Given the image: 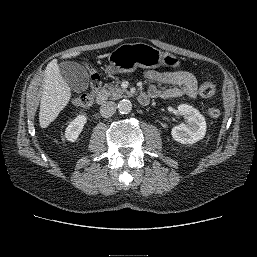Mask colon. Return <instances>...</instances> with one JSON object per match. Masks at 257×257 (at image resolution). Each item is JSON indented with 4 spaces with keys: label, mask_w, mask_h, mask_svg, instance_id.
<instances>
[{
    "label": "colon",
    "mask_w": 257,
    "mask_h": 257,
    "mask_svg": "<svg viewBox=\"0 0 257 257\" xmlns=\"http://www.w3.org/2000/svg\"><path fill=\"white\" fill-rule=\"evenodd\" d=\"M101 86L100 79L97 74L91 73L90 87L87 92H84L74 99V103L79 107H89L93 103L95 93ZM216 92V85L212 82H204L200 86V94L204 97H210ZM210 117L218 118L220 116V110L216 107H211L208 111Z\"/></svg>",
    "instance_id": "colon-1"
}]
</instances>
